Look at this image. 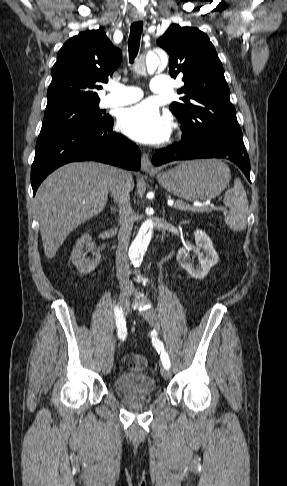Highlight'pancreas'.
<instances>
[{
    "label": "pancreas",
    "instance_id": "obj_1",
    "mask_svg": "<svg viewBox=\"0 0 287 486\" xmlns=\"http://www.w3.org/2000/svg\"><path fill=\"white\" fill-rule=\"evenodd\" d=\"M178 203H183V202H182L181 200H177V201H176V204H178ZM211 210H212V209H210V208H209V209H207L205 212H210Z\"/></svg>",
    "mask_w": 287,
    "mask_h": 486
}]
</instances>
